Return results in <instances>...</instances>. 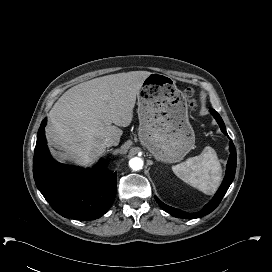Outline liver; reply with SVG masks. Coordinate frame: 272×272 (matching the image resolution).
Listing matches in <instances>:
<instances>
[{
    "label": "liver",
    "instance_id": "6515ba94",
    "mask_svg": "<svg viewBox=\"0 0 272 272\" xmlns=\"http://www.w3.org/2000/svg\"><path fill=\"white\" fill-rule=\"evenodd\" d=\"M151 72L131 71L98 77L67 90L49 112L46 135L53 154L85 166L106 149L105 139L118 143L133 119L136 96ZM114 124V125H113Z\"/></svg>",
    "mask_w": 272,
    "mask_h": 272
}]
</instances>
